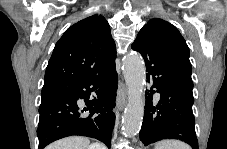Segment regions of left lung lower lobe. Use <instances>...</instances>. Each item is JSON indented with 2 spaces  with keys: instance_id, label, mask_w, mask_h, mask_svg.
<instances>
[{
  "instance_id": "0a47b994",
  "label": "left lung lower lobe",
  "mask_w": 227,
  "mask_h": 149,
  "mask_svg": "<svg viewBox=\"0 0 227 149\" xmlns=\"http://www.w3.org/2000/svg\"><path fill=\"white\" fill-rule=\"evenodd\" d=\"M131 47L144 58L147 81L152 85L146 93L140 140L147 146L162 139H178L198 149L192 80L163 54L146 31L140 30ZM156 92L160 94L158 100L153 99Z\"/></svg>"
}]
</instances>
